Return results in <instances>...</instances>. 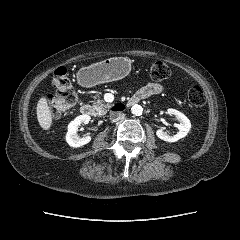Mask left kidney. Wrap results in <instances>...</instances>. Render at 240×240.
Masks as SVG:
<instances>
[{"label":"left kidney","instance_id":"5707ae66","mask_svg":"<svg viewBox=\"0 0 240 240\" xmlns=\"http://www.w3.org/2000/svg\"><path fill=\"white\" fill-rule=\"evenodd\" d=\"M167 113L169 115L176 116L177 120L179 121V124H175V127L178 129V131L175 135L171 136V135H168L163 130L159 129L156 131V135L158 136V138L166 142H176L184 138L188 134V132L191 129V123H190V120L178 110L170 108L167 110Z\"/></svg>","mask_w":240,"mask_h":240}]
</instances>
